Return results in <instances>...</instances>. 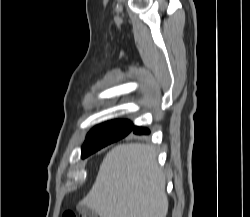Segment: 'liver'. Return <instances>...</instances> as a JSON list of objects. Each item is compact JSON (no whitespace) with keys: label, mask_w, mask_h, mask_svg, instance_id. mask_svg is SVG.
<instances>
[{"label":"liver","mask_w":250,"mask_h":217,"mask_svg":"<svg viewBox=\"0 0 250 217\" xmlns=\"http://www.w3.org/2000/svg\"><path fill=\"white\" fill-rule=\"evenodd\" d=\"M156 157L151 145L115 146L104 157L80 205L100 217H166V181Z\"/></svg>","instance_id":"6515ba94"}]
</instances>
